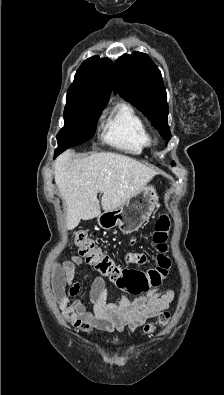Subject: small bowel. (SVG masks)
Returning a JSON list of instances; mask_svg holds the SVG:
<instances>
[{"label": "small bowel", "mask_w": 224, "mask_h": 395, "mask_svg": "<svg viewBox=\"0 0 224 395\" xmlns=\"http://www.w3.org/2000/svg\"><path fill=\"white\" fill-rule=\"evenodd\" d=\"M127 260L143 263L145 256L132 252ZM82 263L80 257L74 256L53 269V290L59 308L64 318L78 330L87 333L134 331L168 308L173 300V290L153 289L135 298L123 296L117 302H107L105 280L97 276L91 285L88 302L78 299L70 302L80 290V284L74 278L76 265ZM88 304L91 311L87 309Z\"/></svg>", "instance_id": "1"}]
</instances>
